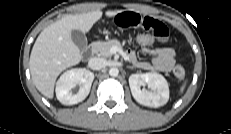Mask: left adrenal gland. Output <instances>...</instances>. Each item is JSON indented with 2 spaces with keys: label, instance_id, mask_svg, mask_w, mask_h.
Segmentation results:
<instances>
[{
  "label": "left adrenal gland",
  "instance_id": "left-adrenal-gland-1",
  "mask_svg": "<svg viewBox=\"0 0 231 134\" xmlns=\"http://www.w3.org/2000/svg\"><path fill=\"white\" fill-rule=\"evenodd\" d=\"M127 68H129V69H133V67H131V66H127Z\"/></svg>",
  "mask_w": 231,
  "mask_h": 134
}]
</instances>
